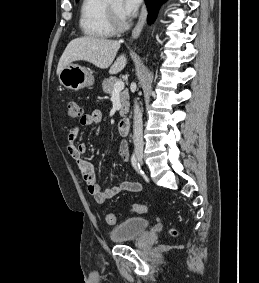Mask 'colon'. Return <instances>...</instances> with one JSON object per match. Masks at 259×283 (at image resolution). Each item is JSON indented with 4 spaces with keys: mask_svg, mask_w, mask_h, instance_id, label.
Listing matches in <instances>:
<instances>
[{
    "mask_svg": "<svg viewBox=\"0 0 259 283\" xmlns=\"http://www.w3.org/2000/svg\"><path fill=\"white\" fill-rule=\"evenodd\" d=\"M67 107H68V113L70 115L71 118H82L83 116V111L82 108L80 106V104L75 101V100H69L67 103ZM131 210L133 213L136 214H142L146 212V206L142 203H135L132 205ZM106 222L109 225H114L116 223V217L114 214L112 213H108L106 214ZM173 235L176 234V231L173 230L171 232Z\"/></svg>",
    "mask_w": 259,
    "mask_h": 283,
    "instance_id": "1",
    "label": "colon"
}]
</instances>
